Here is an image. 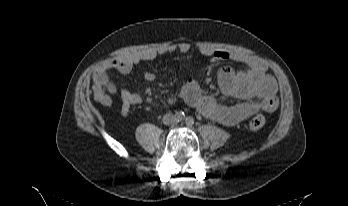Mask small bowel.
<instances>
[{"instance_id": "c3829d8e", "label": "small bowel", "mask_w": 348, "mask_h": 206, "mask_svg": "<svg viewBox=\"0 0 348 206\" xmlns=\"http://www.w3.org/2000/svg\"><path fill=\"white\" fill-rule=\"evenodd\" d=\"M190 45L182 43L177 47L166 49H148L134 52L104 63L101 70L116 69L122 74H128L133 67L145 61H151L159 55L179 51L187 53ZM202 56L211 58L214 62L231 59L242 64L243 69H232L224 67L218 77V84L223 93L229 96L240 98L242 101L236 105H227L216 98L206 95L196 81H188L181 87L179 92L170 97L175 100L177 97L185 98L188 103L194 106L205 117L217 121L225 126H235L251 115L264 111L272 113L277 110L279 100L277 97V82L267 73L266 66L259 60L242 53H229L225 50H215L208 47L199 48ZM148 82L155 80V74L150 71L144 73ZM114 88L107 89L95 78L93 84V95L96 101L111 106L114 99L110 92ZM119 101L121 103V115L127 117L130 109L141 103L139 94L133 93L125 88L119 90Z\"/></svg>"}]
</instances>
